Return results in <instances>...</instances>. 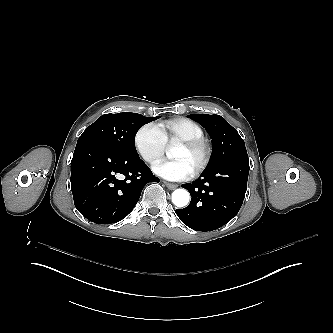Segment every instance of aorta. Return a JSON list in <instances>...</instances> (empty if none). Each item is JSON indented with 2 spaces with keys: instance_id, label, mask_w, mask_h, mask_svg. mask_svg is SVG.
Listing matches in <instances>:
<instances>
[{
  "instance_id": "obj_1",
  "label": "aorta",
  "mask_w": 333,
  "mask_h": 333,
  "mask_svg": "<svg viewBox=\"0 0 333 333\" xmlns=\"http://www.w3.org/2000/svg\"><path fill=\"white\" fill-rule=\"evenodd\" d=\"M167 154V152H166ZM172 154V151H170L167 156H170ZM189 192L185 189H176L172 193V202L177 207H184L189 203Z\"/></svg>"
}]
</instances>
